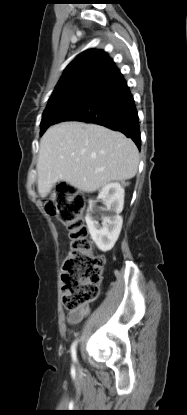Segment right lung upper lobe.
<instances>
[{"label":"right lung upper lobe","instance_id":"obj_1","mask_svg":"<svg viewBox=\"0 0 187 415\" xmlns=\"http://www.w3.org/2000/svg\"><path fill=\"white\" fill-rule=\"evenodd\" d=\"M112 61L113 60L102 50L90 49L79 54L66 67L49 99V103L46 108L67 96L68 92L71 91L79 80Z\"/></svg>","mask_w":187,"mask_h":415}]
</instances>
